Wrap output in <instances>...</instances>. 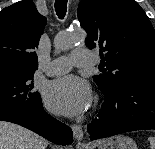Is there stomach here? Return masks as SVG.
Returning a JSON list of instances; mask_svg holds the SVG:
<instances>
[{
  "label": "stomach",
  "mask_w": 155,
  "mask_h": 149,
  "mask_svg": "<svg viewBox=\"0 0 155 149\" xmlns=\"http://www.w3.org/2000/svg\"><path fill=\"white\" fill-rule=\"evenodd\" d=\"M99 149H138L135 141L125 135H116L105 139Z\"/></svg>",
  "instance_id": "1"
}]
</instances>
